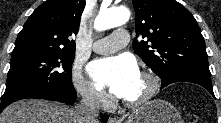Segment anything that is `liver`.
<instances>
[{
    "instance_id": "1",
    "label": "liver",
    "mask_w": 221,
    "mask_h": 123,
    "mask_svg": "<svg viewBox=\"0 0 221 123\" xmlns=\"http://www.w3.org/2000/svg\"><path fill=\"white\" fill-rule=\"evenodd\" d=\"M0 123H78L76 109L57 102L20 100L0 115Z\"/></svg>"
}]
</instances>
